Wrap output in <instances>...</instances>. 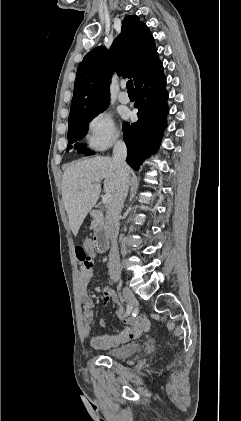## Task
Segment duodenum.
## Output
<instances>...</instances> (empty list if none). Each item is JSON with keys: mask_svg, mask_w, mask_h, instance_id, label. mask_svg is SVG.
<instances>
[{"mask_svg": "<svg viewBox=\"0 0 241 421\" xmlns=\"http://www.w3.org/2000/svg\"><path fill=\"white\" fill-rule=\"evenodd\" d=\"M90 216L95 224L94 247L98 253H104L108 249L110 238L104 215L101 211L92 210Z\"/></svg>", "mask_w": 241, "mask_h": 421, "instance_id": "obj_1", "label": "duodenum"}]
</instances>
